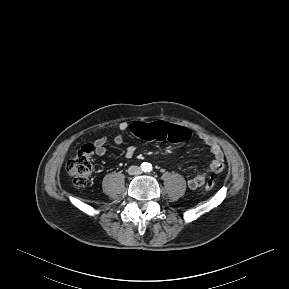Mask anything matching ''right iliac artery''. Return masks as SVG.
<instances>
[{"label": "right iliac artery", "instance_id": "82829eb1", "mask_svg": "<svg viewBox=\"0 0 289 289\" xmlns=\"http://www.w3.org/2000/svg\"><path fill=\"white\" fill-rule=\"evenodd\" d=\"M141 168H142V170H145V169H147V165L145 163H143V164H141Z\"/></svg>", "mask_w": 289, "mask_h": 289}]
</instances>
